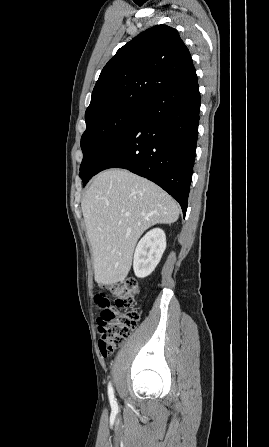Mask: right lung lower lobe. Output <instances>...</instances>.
I'll return each mask as SVG.
<instances>
[{
  "label": "right lung lower lobe",
  "mask_w": 269,
  "mask_h": 447,
  "mask_svg": "<svg viewBox=\"0 0 269 447\" xmlns=\"http://www.w3.org/2000/svg\"><path fill=\"white\" fill-rule=\"evenodd\" d=\"M142 104L143 113L91 166L83 185L104 169H128L168 192L185 215L200 119L194 66Z\"/></svg>",
  "instance_id": "98d812e1"
}]
</instances>
